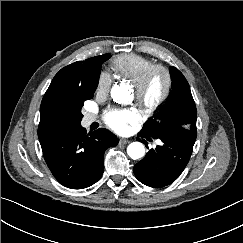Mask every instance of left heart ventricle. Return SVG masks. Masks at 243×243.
Wrapping results in <instances>:
<instances>
[{
	"instance_id": "obj_1",
	"label": "left heart ventricle",
	"mask_w": 243,
	"mask_h": 243,
	"mask_svg": "<svg viewBox=\"0 0 243 243\" xmlns=\"http://www.w3.org/2000/svg\"><path fill=\"white\" fill-rule=\"evenodd\" d=\"M163 85H164L163 75L159 72L154 74L149 84V88L147 92L148 98L153 99L157 97L162 91Z\"/></svg>"
}]
</instances>
